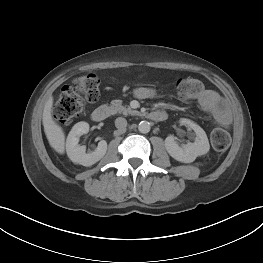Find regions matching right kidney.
Returning a JSON list of instances; mask_svg holds the SVG:
<instances>
[{"label":"right kidney","instance_id":"ca27d5eb","mask_svg":"<svg viewBox=\"0 0 263 263\" xmlns=\"http://www.w3.org/2000/svg\"><path fill=\"white\" fill-rule=\"evenodd\" d=\"M89 132V124L81 121L76 123L68 134L66 140V152L70 160L75 164L91 166L98 162L107 151V142L101 140L94 152L86 153L85 146H80L79 138Z\"/></svg>","mask_w":263,"mask_h":263}]
</instances>
